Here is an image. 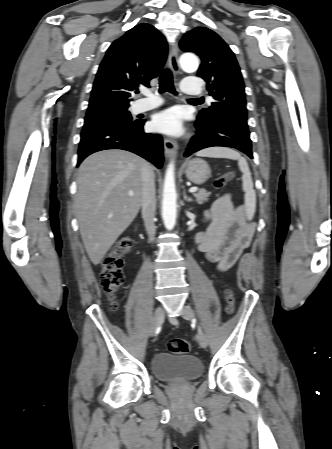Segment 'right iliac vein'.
Returning <instances> with one entry per match:
<instances>
[{"label": "right iliac vein", "mask_w": 332, "mask_h": 449, "mask_svg": "<svg viewBox=\"0 0 332 449\" xmlns=\"http://www.w3.org/2000/svg\"><path fill=\"white\" fill-rule=\"evenodd\" d=\"M164 320V310L162 307H157L152 318L150 327H149V336L152 337L156 331V329L163 323Z\"/></svg>", "instance_id": "63e3f726"}]
</instances>
